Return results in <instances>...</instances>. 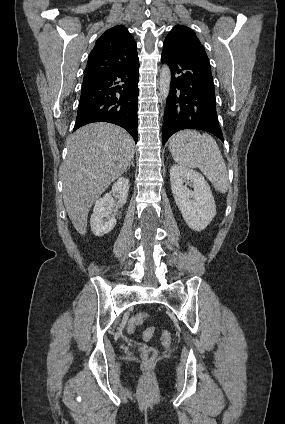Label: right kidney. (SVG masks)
<instances>
[{"label":"right kidney","instance_id":"obj_1","mask_svg":"<svg viewBox=\"0 0 285 424\" xmlns=\"http://www.w3.org/2000/svg\"><path fill=\"white\" fill-rule=\"evenodd\" d=\"M128 191L129 179L120 177L112 185V190L96 201L90 218L91 230L94 235L103 236L113 230L117 223L115 216L118 208L126 203ZM112 195H116L118 198L117 203L114 202Z\"/></svg>","mask_w":285,"mask_h":424}]
</instances>
